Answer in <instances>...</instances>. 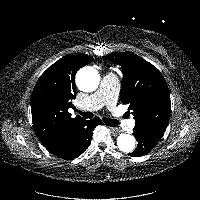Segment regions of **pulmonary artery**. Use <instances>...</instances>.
<instances>
[{
    "mask_svg": "<svg viewBox=\"0 0 200 200\" xmlns=\"http://www.w3.org/2000/svg\"><path fill=\"white\" fill-rule=\"evenodd\" d=\"M119 89L120 82L117 76L112 73L105 74L101 79L99 89L90 95L85 103L80 105V108L91 107L94 110L100 109L103 106L112 108L116 104ZM132 124L133 120L128 121V125Z\"/></svg>",
    "mask_w": 200,
    "mask_h": 200,
    "instance_id": "1",
    "label": "pulmonary artery"
}]
</instances>
